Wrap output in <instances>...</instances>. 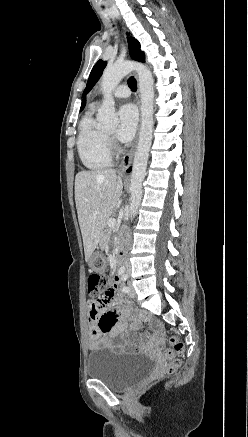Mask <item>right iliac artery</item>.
I'll return each mask as SVG.
<instances>
[{"label":"right iliac artery","mask_w":248,"mask_h":437,"mask_svg":"<svg viewBox=\"0 0 248 437\" xmlns=\"http://www.w3.org/2000/svg\"><path fill=\"white\" fill-rule=\"evenodd\" d=\"M124 272H125V267L122 266V267L119 269L118 273H119V274H123Z\"/></svg>","instance_id":"82829eb1"}]
</instances>
